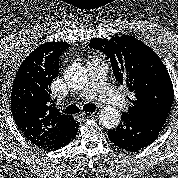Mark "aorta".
I'll use <instances>...</instances> for the list:
<instances>
[{
  "mask_svg": "<svg viewBox=\"0 0 178 178\" xmlns=\"http://www.w3.org/2000/svg\"><path fill=\"white\" fill-rule=\"evenodd\" d=\"M87 79V70L80 64H73L66 70L65 80L71 88H83L87 83ZM99 120L104 127L115 128L120 122L119 111L111 106L105 107L101 110Z\"/></svg>",
  "mask_w": 178,
  "mask_h": 178,
  "instance_id": "762f6f07",
  "label": "aorta"
}]
</instances>
